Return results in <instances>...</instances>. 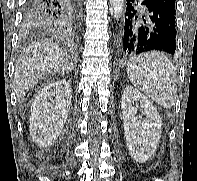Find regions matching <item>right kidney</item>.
<instances>
[{
	"instance_id": "1",
	"label": "right kidney",
	"mask_w": 197,
	"mask_h": 181,
	"mask_svg": "<svg viewBox=\"0 0 197 181\" xmlns=\"http://www.w3.org/2000/svg\"><path fill=\"white\" fill-rule=\"evenodd\" d=\"M71 86L66 80L48 83L31 106L30 135L40 147H49L61 134L71 105Z\"/></svg>"
}]
</instances>
